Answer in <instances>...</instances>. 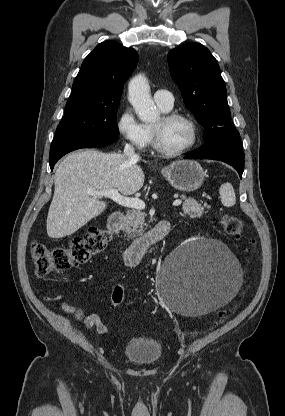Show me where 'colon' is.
Instances as JSON below:
<instances>
[{"label":"colon","mask_w":285,"mask_h":416,"mask_svg":"<svg viewBox=\"0 0 285 416\" xmlns=\"http://www.w3.org/2000/svg\"><path fill=\"white\" fill-rule=\"evenodd\" d=\"M225 230L233 236H240L242 222L232 216H224ZM110 242V234L98 227H90L83 236L73 239L67 246H47L37 241L31 245L33 272L41 278L51 272L65 271L73 266L88 262L94 255L103 251ZM125 297L124 288L117 285L111 295L114 306H120ZM232 312L221 311L217 322H222Z\"/></svg>","instance_id":"1"}]
</instances>
